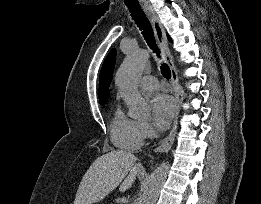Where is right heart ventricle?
Segmentation results:
<instances>
[{
	"label": "right heart ventricle",
	"mask_w": 261,
	"mask_h": 204,
	"mask_svg": "<svg viewBox=\"0 0 261 204\" xmlns=\"http://www.w3.org/2000/svg\"><path fill=\"white\" fill-rule=\"evenodd\" d=\"M110 135L113 144L121 149L134 151L142 144L140 122L128 117L120 106L113 113Z\"/></svg>",
	"instance_id": "obj_1"
}]
</instances>
